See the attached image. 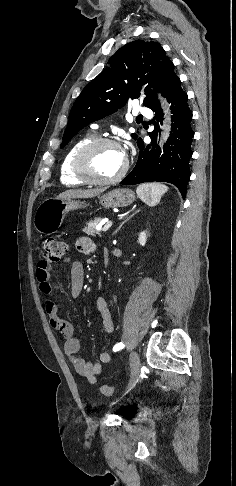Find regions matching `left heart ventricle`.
Segmentation results:
<instances>
[{
	"instance_id": "b2bd125f",
	"label": "left heart ventricle",
	"mask_w": 236,
	"mask_h": 486,
	"mask_svg": "<svg viewBox=\"0 0 236 486\" xmlns=\"http://www.w3.org/2000/svg\"><path fill=\"white\" fill-rule=\"evenodd\" d=\"M124 165V153L115 146L103 145L96 148L89 157V168L99 178L117 175Z\"/></svg>"
}]
</instances>
